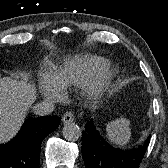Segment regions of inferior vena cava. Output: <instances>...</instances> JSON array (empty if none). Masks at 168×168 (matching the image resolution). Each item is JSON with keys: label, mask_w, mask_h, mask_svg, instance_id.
<instances>
[{"label": "inferior vena cava", "mask_w": 168, "mask_h": 168, "mask_svg": "<svg viewBox=\"0 0 168 168\" xmlns=\"http://www.w3.org/2000/svg\"><path fill=\"white\" fill-rule=\"evenodd\" d=\"M53 110L54 104L48 101L40 102L33 107V112L40 116L48 115L53 112Z\"/></svg>", "instance_id": "602c4592"}]
</instances>
